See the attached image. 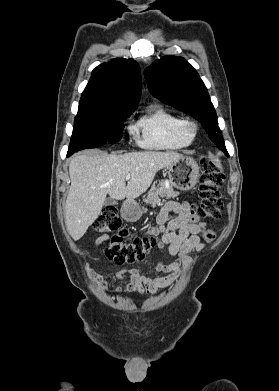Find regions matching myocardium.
<instances>
[{
  "instance_id": "obj_1",
  "label": "myocardium",
  "mask_w": 279,
  "mask_h": 391,
  "mask_svg": "<svg viewBox=\"0 0 279 391\" xmlns=\"http://www.w3.org/2000/svg\"><path fill=\"white\" fill-rule=\"evenodd\" d=\"M181 132L185 138L192 141L197 135L198 125L192 119H183V122L181 125Z\"/></svg>"
}]
</instances>
